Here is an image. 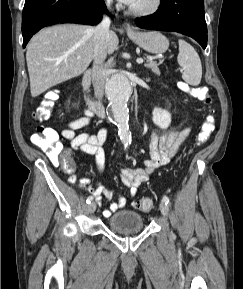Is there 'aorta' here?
<instances>
[{
	"label": "aorta",
	"mask_w": 243,
	"mask_h": 289,
	"mask_svg": "<svg viewBox=\"0 0 243 289\" xmlns=\"http://www.w3.org/2000/svg\"><path fill=\"white\" fill-rule=\"evenodd\" d=\"M105 93L109 100L111 113L118 127V136L126 148L131 143L129 131V109L127 106L131 94V85L123 74L112 75L105 84Z\"/></svg>",
	"instance_id": "1"
}]
</instances>
